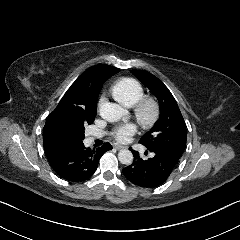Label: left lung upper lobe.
<instances>
[{
	"mask_svg": "<svg viewBox=\"0 0 240 240\" xmlns=\"http://www.w3.org/2000/svg\"><path fill=\"white\" fill-rule=\"evenodd\" d=\"M131 73L151 90L158 99L160 107L158 121L139 140V143L147 149L159 148L180 158L186 147L187 133L175 98L165 84L153 74L143 70H131Z\"/></svg>",
	"mask_w": 240,
	"mask_h": 240,
	"instance_id": "left-lung-upper-lobe-1",
	"label": "left lung upper lobe"
}]
</instances>
